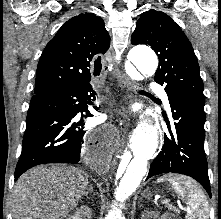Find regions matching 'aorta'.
<instances>
[{
    "label": "aorta",
    "instance_id": "1",
    "mask_svg": "<svg viewBox=\"0 0 221 219\" xmlns=\"http://www.w3.org/2000/svg\"><path fill=\"white\" fill-rule=\"evenodd\" d=\"M128 60L143 74L153 75L158 66L156 54L147 46L133 47L128 53ZM158 143V127L148 121L140 123L135 131L132 153L123 155L113 174L114 199L117 203L126 202L139 187Z\"/></svg>",
    "mask_w": 221,
    "mask_h": 219
}]
</instances>
